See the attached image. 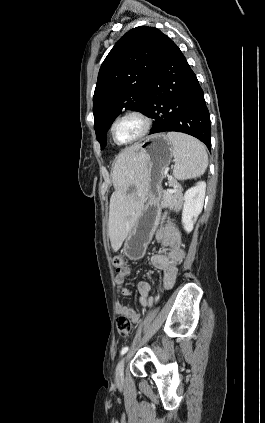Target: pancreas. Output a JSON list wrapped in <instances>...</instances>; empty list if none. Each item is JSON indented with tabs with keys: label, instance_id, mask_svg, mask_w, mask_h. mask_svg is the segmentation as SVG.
<instances>
[{
	"label": "pancreas",
	"instance_id": "obj_1",
	"mask_svg": "<svg viewBox=\"0 0 265 423\" xmlns=\"http://www.w3.org/2000/svg\"><path fill=\"white\" fill-rule=\"evenodd\" d=\"M170 186L174 187L176 192L171 193L169 190L164 191L161 197V206L170 210L177 211L181 205V189L176 182H170ZM167 216V212H164L163 218Z\"/></svg>",
	"mask_w": 265,
	"mask_h": 423
}]
</instances>
